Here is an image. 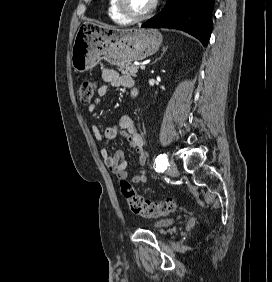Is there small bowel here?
I'll list each match as a JSON object with an SVG mask.
<instances>
[{
    "label": "small bowel",
    "instance_id": "1",
    "mask_svg": "<svg viewBox=\"0 0 272 282\" xmlns=\"http://www.w3.org/2000/svg\"><path fill=\"white\" fill-rule=\"evenodd\" d=\"M103 78L105 81L112 86L120 87L123 89H132L134 87V81L130 77L122 76L117 71L107 69L103 71ZM108 91V86L103 85L98 90L99 97L106 95ZM100 102V99L96 101V104ZM96 104L89 107V111L93 112L95 110ZM119 128L122 130V135L126 138L131 147H133L139 153V164L145 166L148 160V153L144 150L143 137L140 134L136 122L129 115H123L118 120L117 126H112L107 128L103 133L97 125L92 127V133L94 138L107 144L109 141L116 138L119 133ZM101 155L104 159L106 166L120 178L127 179V166L128 162L123 157L120 151L116 152L114 155L110 154L108 148L103 146L101 148ZM131 183L139 184L145 183L147 181V173L145 169L139 171V173L129 179Z\"/></svg>",
    "mask_w": 272,
    "mask_h": 282
}]
</instances>
